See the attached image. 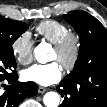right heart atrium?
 <instances>
[{
	"instance_id": "obj_1",
	"label": "right heart atrium",
	"mask_w": 107,
	"mask_h": 107,
	"mask_svg": "<svg viewBox=\"0 0 107 107\" xmlns=\"http://www.w3.org/2000/svg\"><path fill=\"white\" fill-rule=\"evenodd\" d=\"M12 52L21 64H28L33 59V41L29 32L21 33L12 43Z\"/></svg>"
}]
</instances>
